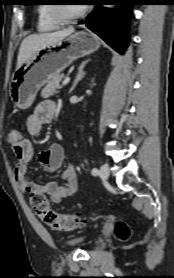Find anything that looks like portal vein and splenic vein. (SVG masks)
Segmentation results:
<instances>
[{
    "label": "portal vein and splenic vein",
    "instance_id": "18ae733b",
    "mask_svg": "<svg viewBox=\"0 0 174 278\" xmlns=\"http://www.w3.org/2000/svg\"><path fill=\"white\" fill-rule=\"evenodd\" d=\"M69 81H70V78L67 77V78L64 79V81L62 82V84L65 86V85H67V84L69 83Z\"/></svg>",
    "mask_w": 174,
    "mask_h": 278
}]
</instances>
